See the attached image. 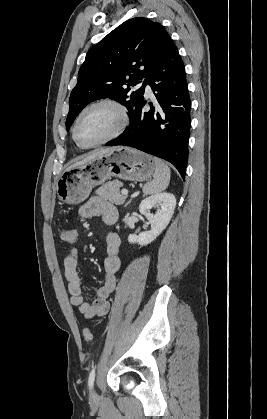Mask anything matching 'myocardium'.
<instances>
[{
    "label": "myocardium",
    "mask_w": 267,
    "mask_h": 419,
    "mask_svg": "<svg viewBox=\"0 0 267 419\" xmlns=\"http://www.w3.org/2000/svg\"><path fill=\"white\" fill-rule=\"evenodd\" d=\"M98 106H110L113 109H115V111L118 114L119 117V122L117 124V126L114 128V130L109 133L107 136H105L104 138H102L101 140L93 143V144H89V145H85L82 144L77 136V129H78V125L80 120L82 119L83 115L90 109L98 107ZM129 123V112L127 107L121 103L118 100L112 99V98H102V99H98L95 100L89 104H87L78 114L74 126H73V139L75 141V143L83 149H90V148H94L97 146H100L102 144H105L113 139H115L116 137H118L127 127Z\"/></svg>",
    "instance_id": "obj_1"
}]
</instances>
